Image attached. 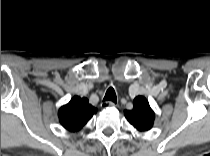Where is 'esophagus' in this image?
I'll use <instances>...</instances> for the list:
<instances>
[{
    "mask_svg": "<svg viewBox=\"0 0 210 156\" xmlns=\"http://www.w3.org/2000/svg\"><path fill=\"white\" fill-rule=\"evenodd\" d=\"M101 108H108V107H112L115 106V103L112 101H103L100 104Z\"/></svg>",
    "mask_w": 210,
    "mask_h": 156,
    "instance_id": "34e87169",
    "label": "esophagus"
}]
</instances>
